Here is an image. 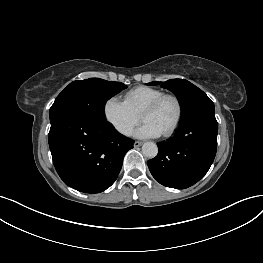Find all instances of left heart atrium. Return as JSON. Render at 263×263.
<instances>
[{"instance_id":"39dd6f15","label":"left heart atrium","mask_w":263,"mask_h":263,"mask_svg":"<svg viewBox=\"0 0 263 263\" xmlns=\"http://www.w3.org/2000/svg\"><path fill=\"white\" fill-rule=\"evenodd\" d=\"M162 132L151 122L145 121L135 132L134 135L139 138H156Z\"/></svg>"}]
</instances>
